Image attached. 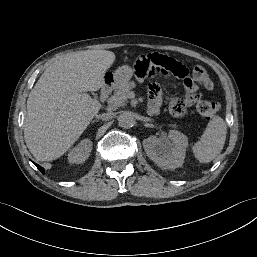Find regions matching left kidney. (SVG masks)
<instances>
[{
	"mask_svg": "<svg viewBox=\"0 0 257 257\" xmlns=\"http://www.w3.org/2000/svg\"><path fill=\"white\" fill-rule=\"evenodd\" d=\"M188 138L183 133L170 130L168 135L150 136L143 141L147 156L160 168L176 169L183 165Z\"/></svg>",
	"mask_w": 257,
	"mask_h": 257,
	"instance_id": "5707ae66",
	"label": "left kidney"
}]
</instances>
